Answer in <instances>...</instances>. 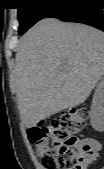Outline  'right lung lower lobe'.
Returning a JSON list of instances; mask_svg holds the SVG:
<instances>
[{"label": "right lung lower lobe", "mask_w": 104, "mask_h": 169, "mask_svg": "<svg viewBox=\"0 0 104 169\" xmlns=\"http://www.w3.org/2000/svg\"><path fill=\"white\" fill-rule=\"evenodd\" d=\"M46 18L84 23L104 31V0H63Z\"/></svg>", "instance_id": "obj_1"}]
</instances>
